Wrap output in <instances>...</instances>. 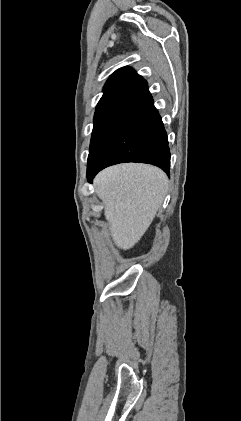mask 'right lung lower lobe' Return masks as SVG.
Returning <instances> with one entry per match:
<instances>
[{"label": "right lung lower lobe", "mask_w": 241, "mask_h": 421, "mask_svg": "<svg viewBox=\"0 0 241 421\" xmlns=\"http://www.w3.org/2000/svg\"><path fill=\"white\" fill-rule=\"evenodd\" d=\"M169 150L163 122L147 90L134 101L117 134L96 164L87 169L88 181L92 182L103 168L123 162L152 164L169 174Z\"/></svg>", "instance_id": "98d812e1"}]
</instances>
